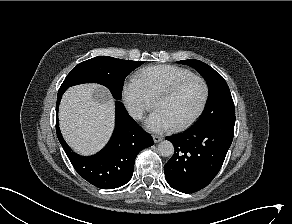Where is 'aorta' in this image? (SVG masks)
I'll return each instance as SVG.
<instances>
[{"mask_svg":"<svg viewBox=\"0 0 292 224\" xmlns=\"http://www.w3.org/2000/svg\"><path fill=\"white\" fill-rule=\"evenodd\" d=\"M158 153L164 157H169L174 154V146L170 141L164 140L158 145Z\"/></svg>","mask_w":292,"mask_h":224,"instance_id":"obj_1","label":"aorta"}]
</instances>
